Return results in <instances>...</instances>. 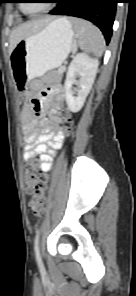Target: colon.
<instances>
[{"mask_svg": "<svg viewBox=\"0 0 136 296\" xmlns=\"http://www.w3.org/2000/svg\"><path fill=\"white\" fill-rule=\"evenodd\" d=\"M62 114L65 118L66 129L69 130L71 127L69 113L67 111H63ZM26 182L28 190L32 191V197L29 204L30 209L34 213H37L44 207L49 178L45 174L37 173L35 170V162L31 161L26 172Z\"/></svg>", "mask_w": 136, "mask_h": 296, "instance_id": "colon-1", "label": "colon"}]
</instances>
